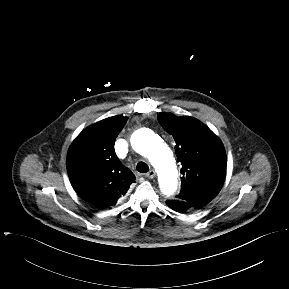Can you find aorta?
Returning a JSON list of instances; mask_svg holds the SVG:
<instances>
[{
	"instance_id": "obj_1",
	"label": "aorta",
	"mask_w": 289,
	"mask_h": 289,
	"mask_svg": "<svg viewBox=\"0 0 289 289\" xmlns=\"http://www.w3.org/2000/svg\"><path fill=\"white\" fill-rule=\"evenodd\" d=\"M132 147L146 157L158 173L161 192L172 195L177 189L178 171L175 158L164 141L151 130L136 131L131 138Z\"/></svg>"
}]
</instances>
